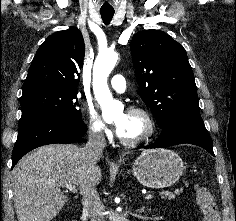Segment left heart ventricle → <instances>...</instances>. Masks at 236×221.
<instances>
[{"label": "left heart ventricle", "mask_w": 236, "mask_h": 221, "mask_svg": "<svg viewBox=\"0 0 236 221\" xmlns=\"http://www.w3.org/2000/svg\"><path fill=\"white\" fill-rule=\"evenodd\" d=\"M115 120L116 122L123 120L124 125L120 136L125 139L138 138L142 136L147 129L144 118L137 114L120 113Z\"/></svg>", "instance_id": "obj_1"}]
</instances>
